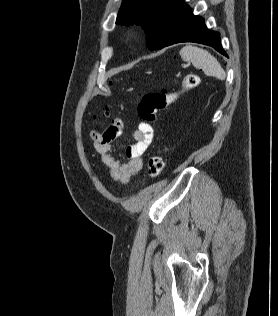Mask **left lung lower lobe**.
Returning a JSON list of instances; mask_svg holds the SVG:
<instances>
[{
  "instance_id": "1",
  "label": "left lung lower lobe",
  "mask_w": 278,
  "mask_h": 316,
  "mask_svg": "<svg viewBox=\"0 0 278 316\" xmlns=\"http://www.w3.org/2000/svg\"><path fill=\"white\" fill-rule=\"evenodd\" d=\"M182 42H195L209 45L228 57L222 48L220 34L207 29L204 19L200 16H195L190 7H188L182 16L173 36L164 47Z\"/></svg>"
}]
</instances>
